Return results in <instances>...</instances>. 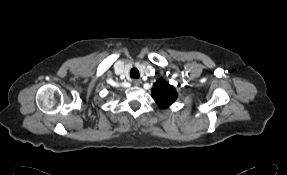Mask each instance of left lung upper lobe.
Returning a JSON list of instances; mask_svg holds the SVG:
<instances>
[{
  "mask_svg": "<svg viewBox=\"0 0 287 175\" xmlns=\"http://www.w3.org/2000/svg\"><path fill=\"white\" fill-rule=\"evenodd\" d=\"M152 97L161 108H166L177 99V92L173 86L161 78L153 85Z\"/></svg>",
  "mask_w": 287,
  "mask_h": 175,
  "instance_id": "5c2ea615",
  "label": "left lung upper lobe"
}]
</instances>
